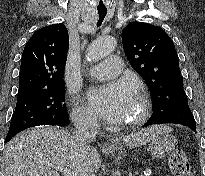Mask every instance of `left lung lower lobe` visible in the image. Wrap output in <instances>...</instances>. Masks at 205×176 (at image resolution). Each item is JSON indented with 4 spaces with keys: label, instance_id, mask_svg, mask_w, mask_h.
Wrapping results in <instances>:
<instances>
[{
    "label": "left lung lower lobe",
    "instance_id": "1",
    "mask_svg": "<svg viewBox=\"0 0 205 176\" xmlns=\"http://www.w3.org/2000/svg\"><path fill=\"white\" fill-rule=\"evenodd\" d=\"M163 123L181 124L196 132V123L188 106L187 97L179 99L174 105L165 110L154 112L143 127Z\"/></svg>",
    "mask_w": 205,
    "mask_h": 176
}]
</instances>
